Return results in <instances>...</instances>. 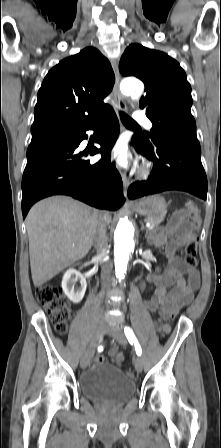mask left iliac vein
<instances>
[{
    "label": "left iliac vein",
    "mask_w": 221,
    "mask_h": 448,
    "mask_svg": "<svg viewBox=\"0 0 221 448\" xmlns=\"http://www.w3.org/2000/svg\"><path fill=\"white\" fill-rule=\"evenodd\" d=\"M106 333L115 338L118 341V343L121 344L122 346L126 345L127 341L122 326L120 325L108 326L106 328ZM134 367L137 372L142 371L143 363L140 357H137L134 360Z\"/></svg>",
    "instance_id": "obj_1"
}]
</instances>
